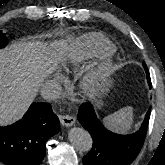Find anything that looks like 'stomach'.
<instances>
[{"instance_id":"stomach-1","label":"stomach","mask_w":165,"mask_h":165,"mask_svg":"<svg viewBox=\"0 0 165 165\" xmlns=\"http://www.w3.org/2000/svg\"><path fill=\"white\" fill-rule=\"evenodd\" d=\"M113 86V80L109 77L101 78L96 84V106L100 109L103 105V97L110 91Z\"/></svg>"}]
</instances>
